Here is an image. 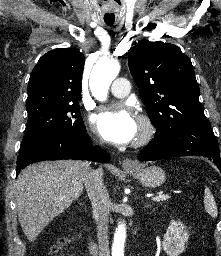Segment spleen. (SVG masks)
<instances>
[{
	"mask_svg": "<svg viewBox=\"0 0 221 256\" xmlns=\"http://www.w3.org/2000/svg\"><path fill=\"white\" fill-rule=\"evenodd\" d=\"M204 205H205L206 211L209 213V215H211V217L213 218L217 217V214H218L217 206H216L214 197L211 194L208 187L205 188V192H204Z\"/></svg>",
	"mask_w": 221,
	"mask_h": 256,
	"instance_id": "obj_1",
	"label": "spleen"
}]
</instances>
